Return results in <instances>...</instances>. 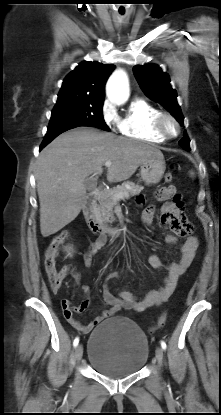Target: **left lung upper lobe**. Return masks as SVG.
Returning a JSON list of instances; mask_svg holds the SVG:
<instances>
[{
	"mask_svg": "<svg viewBox=\"0 0 221 415\" xmlns=\"http://www.w3.org/2000/svg\"><path fill=\"white\" fill-rule=\"evenodd\" d=\"M133 71L142 91L150 99L163 105L184 126V117L177 103V93L170 85L168 74L162 72L161 68L155 64L136 65ZM189 143L190 140L184 133L179 145L189 151Z\"/></svg>",
	"mask_w": 221,
	"mask_h": 415,
	"instance_id": "1",
	"label": "left lung upper lobe"
}]
</instances>
